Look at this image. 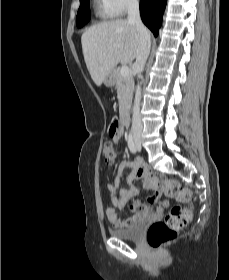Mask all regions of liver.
<instances>
[{"mask_svg": "<svg viewBox=\"0 0 229 280\" xmlns=\"http://www.w3.org/2000/svg\"><path fill=\"white\" fill-rule=\"evenodd\" d=\"M141 35L134 24L118 19L88 28L81 37L82 51L92 80L101 86L106 75L137 55Z\"/></svg>", "mask_w": 229, "mask_h": 280, "instance_id": "6515ba94", "label": "liver"}]
</instances>
